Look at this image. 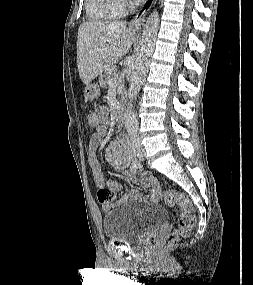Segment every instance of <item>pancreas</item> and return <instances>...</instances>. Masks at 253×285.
Instances as JSON below:
<instances>
[{"label": "pancreas", "mask_w": 253, "mask_h": 285, "mask_svg": "<svg viewBox=\"0 0 253 285\" xmlns=\"http://www.w3.org/2000/svg\"><path fill=\"white\" fill-rule=\"evenodd\" d=\"M118 73V69L116 66L108 67L105 70V73L100 78V86L102 88H107L109 86V80L114 78Z\"/></svg>", "instance_id": "1"}]
</instances>
